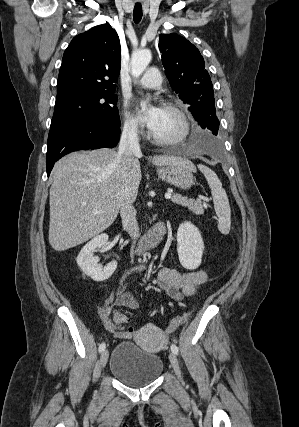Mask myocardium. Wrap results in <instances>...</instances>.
<instances>
[{
    "instance_id": "f54148a6",
    "label": "myocardium",
    "mask_w": 299,
    "mask_h": 427,
    "mask_svg": "<svg viewBox=\"0 0 299 427\" xmlns=\"http://www.w3.org/2000/svg\"><path fill=\"white\" fill-rule=\"evenodd\" d=\"M163 109L169 110L172 113H174L181 124V131L178 135L170 138H162L159 136H156L154 133H150L151 139L153 142L159 145L163 146H170V145H176L181 142H183L190 134V122L187 117V114L184 112L182 108H180L177 104L173 102H165L162 106Z\"/></svg>"
}]
</instances>
